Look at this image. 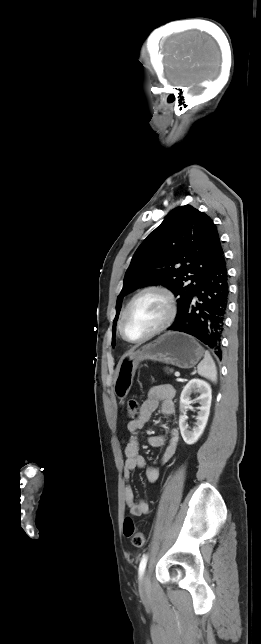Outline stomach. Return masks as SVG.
Returning <instances> with one entry per match:
<instances>
[{"label":"stomach","instance_id":"0dacf381","mask_svg":"<svg viewBox=\"0 0 261 644\" xmlns=\"http://www.w3.org/2000/svg\"><path fill=\"white\" fill-rule=\"evenodd\" d=\"M203 355V348L192 336L179 332L165 333L122 357L116 372L114 393L119 399L127 397L133 384L136 369L144 360L190 369L199 362Z\"/></svg>","mask_w":261,"mask_h":644}]
</instances>
